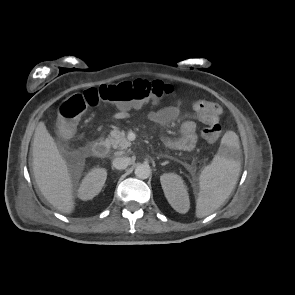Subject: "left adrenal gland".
Listing matches in <instances>:
<instances>
[{"instance_id":"obj_1","label":"left adrenal gland","mask_w":295,"mask_h":295,"mask_svg":"<svg viewBox=\"0 0 295 295\" xmlns=\"http://www.w3.org/2000/svg\"><path fill=\"white\" fill-rule=\"evenodd\" d=\"M164 157H166V158H171V157H169V156H167V155H164ZM168 163H169L168 161H165V162L161 163V165L164 166V165H166V164H168Z\"/></svg>"}]
</instances>
